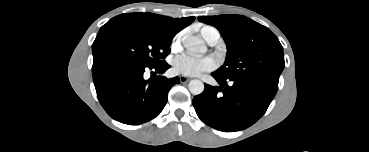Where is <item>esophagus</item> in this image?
Listing matches in <instances>:
<instances>
[{"label": "esophagus", "instance_id": "esophagus-1", "mask_svg": "<svg viewBox=\"0 0 369 152\" xmlns=\"http://www.w3.org/2000/svg\"><path fill=\"white\" fill-rule=\"evenodd\" d=\"M179 79L181 83H186L190 80V78L183 76V75L179 76Z\"/></svg>", "mask_w": 369, "mask_h": 152}]
</instances>
